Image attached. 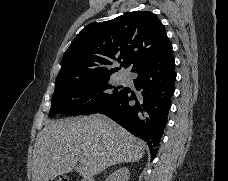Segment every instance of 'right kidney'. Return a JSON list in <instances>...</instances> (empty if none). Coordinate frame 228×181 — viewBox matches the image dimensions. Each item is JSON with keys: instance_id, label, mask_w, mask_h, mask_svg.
Wrapping results in <instances>:
<instances>
[{"instance_id": "obj_1", "label": "right kidney", "mask_w": 228, "mask_h": 181, "mask_svg": "<svg viewBox=\"0 0 228 181\" xmlns=\"http://www.w3.org/2000/svg\"><path fill=\"white\" fill-rule=\"evenodd\" d=\"M129 175L128 169H118V171H114L106 181H129Z\"/></svg>"}]
</instances>
